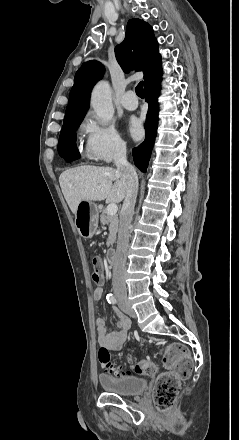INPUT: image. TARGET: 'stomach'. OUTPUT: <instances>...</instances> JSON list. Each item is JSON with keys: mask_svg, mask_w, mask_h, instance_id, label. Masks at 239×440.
Returning a JSON list of instances; mask_svg holds the SVG:
<instances>
[{"mask_svg": "<svg viewBox=\"0 0 239 440\" xmlns=\"http://www.w3.org/2000/svg\"><path fill=\"white\" fill-rule=\"evenodd\" d=\"M98 220L99 210L93 200L78 204L75 214V228L81 238H84V240L93 238L98 228Z\"/></svg>", "mask_w": 239, "mask_h": 440, "instance_id": "0dacf381", "label": "stomach"}]
</instances>
